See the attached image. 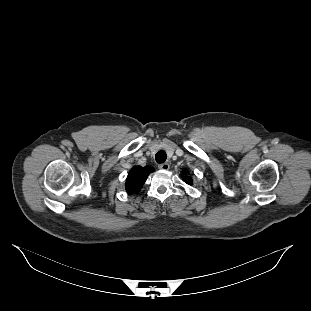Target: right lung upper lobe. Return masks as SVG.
Returning <instances> with one entry per match:
<instances>
[{
    "label": "right lung upper lobe",
    "instance_id": "right-lung-upper-lobe-1",
    "mask_svg": "<svg viewBox=\"0 0 311 311\" xmlns=\"http://www.w3.org/2000/svg\"><path fill=\"white\" fill-rule=\"evenodd\" d=\"M154 172V169L149 167V166H145V167H141V166H135L133 167L127 177V181H126V191L129 194H133L134 192H138L145 180L147 179L148 175L150 173Z\"/></svg>",
    "mask_w": 311,
    "mask_h": 311
}]
</instances>
